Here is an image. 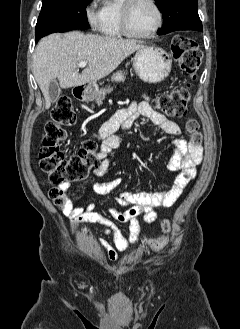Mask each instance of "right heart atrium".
I'll return each instance as SVG.
<instances>
[{
    "instance_id": "1",
    "label": "right heart atrium",
    "mask_w": 240,
    "mask_h": 329,
    "mask_svg": "<svg viewBox=\"0 0 240 329\" xmlns=\"http://www.w3.org/2000/svg\"><path fill=\"white\" fill-rule=\"evenodd\" d=\"M100 16H101V10L98 11L92 6H90L86 9L87 20H88L89 24L93 27L98 26Z\"/></svg>"
}]
</instances>
